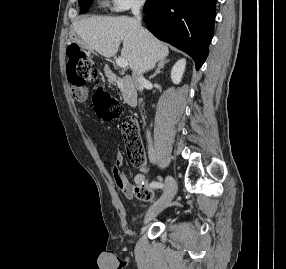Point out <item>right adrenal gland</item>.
<instances>
[{
    "label": "right adrenal gland",
    "instance_id": "1",
    "mask_svg": "<svg viewBox=\"0 0 286 269\" xmlns=\"http://www.w3.org/2000/svg\"><path fill=\"white\" fill-rule=\"evenodd\" d=\"M168 62H169V59L168 60L164 59V60L159 61L157 68H156L154 74L150 76V79L155 77L157 74H159L161 72V69H163L165 64Z\"/></svg>",
    "mask_w": 286,
    "mask_h": 269
}]
</instances>
